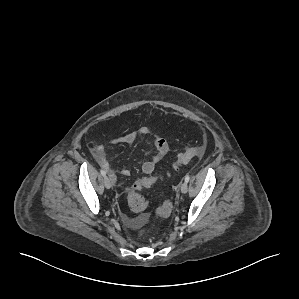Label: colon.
Returning a JSON list of instances; mask_svg holds the SVG:
<instances>
[{"mask_svg":"<svg viewBox=\"0 0 299 299\" xmlns=\"http://www.w3.org/2000/svg\"><path fill=\"white\" fill-rule=\"evenodd\" d=\"M205 151L204 146H194L186 149L184 152L180 153L177 156L176 161L173 163L172 168L173 170H177L180 166L189 163L192 159L201 156ZM163 179V175H155V176H148L138 179L134 182L132 187L128 192V204L129 207L134 212L143 211L146 206L147 202L140 194V191L143 188H148L153 186L155 183ZM172 211V204L170 201H165L158 209L157 215L161 218H167ZM144 218H141L138 223H141Z\"/></svg>","mask_w":299,"mask_h":299,"instance_id":"5ec220e1","label":"colon"}]
</instances>
